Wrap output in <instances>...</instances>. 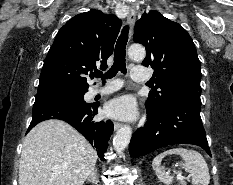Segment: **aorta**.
<instances>
[{"instance_id":"aorta-1","label":"aorta","mask_w":233,"mask_h":185,"mask_svg":"<svg viewBox=\"0 0 233 185\" xmlns=\"http://www.w3.org/2000/svg\"><path fill=\"white\" fill-rule=\"evenodd\" d=\"M129 58L134 61H140L145 58L146 51L141 45H131L128 49ZM132 136L130 126L121 127L113 138V147L116 152L121 153L129 144Z\"/></svg>"}]
</instances>
